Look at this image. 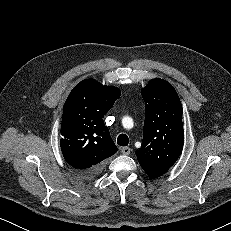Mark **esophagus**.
I'll use <instances>...</instances> for the list:
<instances>
[{"label": "esophagus", "instance_id": "34e87169", "mask_svg": "<svg viewBox=\"0 0 231 231\" xmlns=\"http://www.w3.org/2000/svg\"><path fill=\"white\" fill-rule=\"evenodd\" d=\"M121 152H122V154H124V155H129L130 152H131V149H130L129 147H123V148L121 149Z\"/></svg>", "mask_w": 231, "mask_h": 231}]
</instances>
